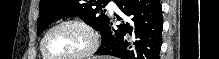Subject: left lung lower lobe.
<instances>
[{"mask_svg": "<svg viewBox=\"0 0 219 59\" xmlns=\"http://www.w3.org/2000/svg\"><path fill=\"white\" fill-rule=\"evenodd\" d=\"M127 16L118 29L109 21L101 31L102 42L95 54L121 59H159L162 33V8L159 0H115Z\"/></svg>", "mask_w": 219, "mask_h": 59, "instance_id": "obj_1", "label": "left lung lower lobe"}]
</instances>
